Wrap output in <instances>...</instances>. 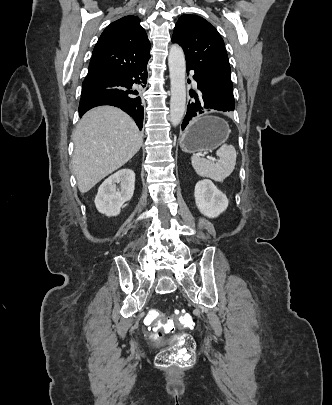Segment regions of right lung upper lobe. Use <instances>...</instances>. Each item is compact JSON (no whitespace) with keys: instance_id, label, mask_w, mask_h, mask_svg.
<instances>
[{"instance_id":"cb5924a9","label":"right lung upper lobe","mask_w":332,"mask_h":405,"mask_svg":"<svg viewBox=\"0 0 332 405\" xmlns=\"http://www.w3.org/2000/svg\"><path fill=\"white\" fill-rule=\"evenodd\" d=\"M135 16L111 23L96 43L86 78L134 69L150 58V42Z\"/></svg>"}]
</instances>
